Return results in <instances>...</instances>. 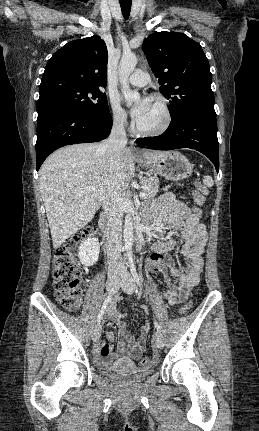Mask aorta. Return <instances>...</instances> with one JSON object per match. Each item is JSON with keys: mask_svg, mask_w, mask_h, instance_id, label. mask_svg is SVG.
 <instances>
[{"mask_svg": "<svg viewBox=\"0 0 259 431\" xmlns=\"http://www.w3.org/2000/svg\"><path fill=\"white\" fill-rule=\"evenodd\" d=\"M137 65V57L133 54H124L118 66V76L121 90L127 105L138 102L140 94L137 90H132L128 84V78ZM133 245V222L131 214H127L124 223V248L128 255L132 252Z\"/></svg>", "mask_w": 259, "mask_h": 431, "instance_id": "obj_1", "label": "aorta"}]
</instances>
